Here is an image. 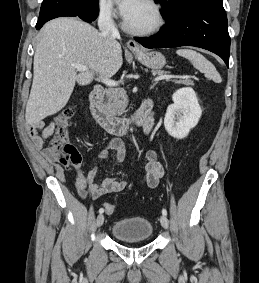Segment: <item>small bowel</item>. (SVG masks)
<instances>
[{
	"label": "small bowel",
	"instance_id": "c3829d8e",
	"mask_svg": "<svg viewBox=\"0 0 259 283\" xmlns=\"http://www.w3.org/2000/svg\"><path fill=\"white\" fill-rule=\"evenodd\" d=\"M151 125L146 126L148 131ZM55 131L54 121L45 124L44 121L39 120L32 122L27 127V134L32 140L34 147L37 150H42L44 142ZM110 150H115L116 154L114 162L121 163L126 157V148L121 140L112 139L100 151L99 158L103 161L110 159ZM45 154V152H44ZM76 170L75 187L82 198L92 197L100 198L108 193L121 192L129 188L132 184L127 181H118L115 177L104 178L100 184L95 182L99 174V166L94 167L87 174H84L81 168V163L74 165ZM164 176V168L158 161V153L155 150H149L146 153L145 176L142 183L147 184L150 188H155Z\"/></svg>",
	"mask_w": 259,
	"mask_h": 283
}]
</instances>
